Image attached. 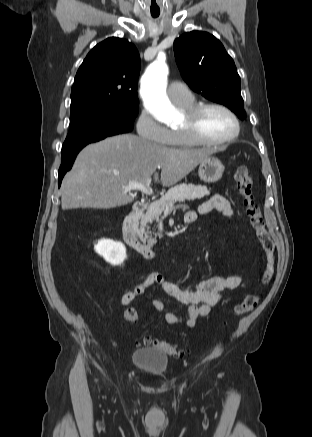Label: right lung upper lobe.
Here are the masks:
<instances>
[{
  "mask_svg": "<svg viewBox=\"0 0 312 437\" xmlns=\"http://www.w3.org/2000/svg\"><path fill=\"white\" fill-rule=\"evenodd\" d=\"M140 57L128 41L110 37L86 56L75 76L71 107L87 103L136 104Z\"/></svg>",
  "mask_w": 312,
  "mask_h": 437,
  "instance_id": "1",
  "label": "right lung upper lobe"
}]
</instances>
